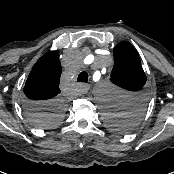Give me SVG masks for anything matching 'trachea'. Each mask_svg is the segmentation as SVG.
Here are the masks:
<instances>
[{
  "instance_id": "trachea-1",
  "label": "trachea",
  "mask_w": 174,
  "mask_h": 174,
  "mask_svg": "<svg viewBox=\"0 0 174 174\" xmlns=\"http://www.w3.org/2000/svg\"><path fill=\"white\" fill-rule=\"evenodd\" d=\"M78 82H88V73L83 71L78 75Z\"/></svg>"
}]
</instances>
